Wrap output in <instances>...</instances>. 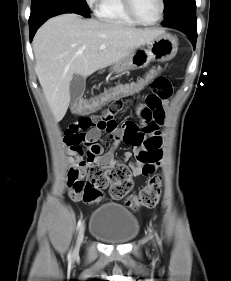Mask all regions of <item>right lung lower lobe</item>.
Returning <instances> with one entry per match:
<instances>
[{"label": "right lung lower lobe", "mask_w": 231, "mask_h": 281, "mask_svg": "<svg viewBox=\"0 0 231 281\" xmlns=\"http://www.w3.org/2000/svg\"><path fill=\"white\" fill-rule=\"evenodd\" d=\"M64 13H76L87 18L90 17L88 10L75 0H38L31 6L30 41H32L37 29L47 19Z\"/></svg>", "instance_id": "1"}]
</instances>
